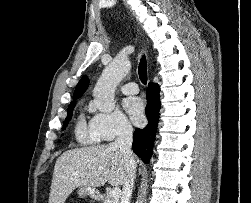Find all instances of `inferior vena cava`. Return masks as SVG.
Returning <instances> with one entry per match:
<instances>
[{
    "label": "inferior vena cava",
    "mask_w": 251,
    "mask_h": 203,
    "mask_svg": "<svg viewBox=\"0 0 251 203\" xmlns=\"http://www.w3.org/2000/svg\"><path fill=\"white\" fill-rule=\"evenodd\" d=\"M132 136V126L128 122H124L120 126L117 139L112 143L114 148L119 149L126 164V179L122 188L121 203H130L136 173V164L131 149Z\"/></svg>",
    "instance_id": "602c4592"
}]
</instances>
